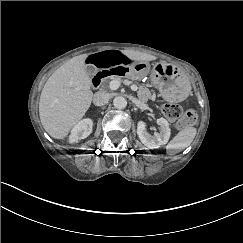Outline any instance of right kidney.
Instances as JSON below:
<instances>
[{"label": "right kidney", "mask_w": 243, "mask_h": 243, "mask_svg": "<svg viewBox=\"0 0 243 243\" xmlns=\"http://www.w3.org/2000/svg\"><path fill=\"white\" fill-rule=\"evenodd\" d=\"M91 127V121L90 120H84L81 123H79L72 131V134L70 136L71 142H76L79 139H82L84 137V134L88 129Z\"/></svg>", "instance_id": "ca27d5eb"}]
</instances>
